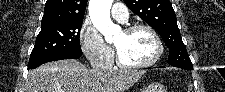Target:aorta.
Here are the masks:
<instances>
[{
	"mask_svg": "<svg viewBox=\"0 0 225 92\" xmlns=\"http://www.w3.org/2000/svg\"><path fill=\"white\" fill-rule=\"evenodd\" d=\"M113 0H90L89 15L94 27L110 41L114 33L120 30L110 18V8Z\"/></svg>",
	"mask_w": 225,
	"mask_h": 92,
	"instance_id": "obj_1",
	"label": "aorta"
}]
</instances>
